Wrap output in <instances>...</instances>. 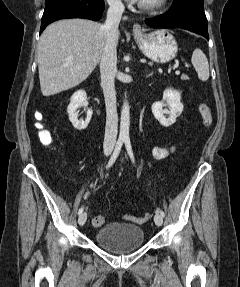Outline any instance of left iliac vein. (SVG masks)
Segmentation results:
<instances>
[{
    "label": "left iliac vein",
    "mask_w": 240,
    "mask_h": 287,
    "mask_svg": "<svg viewBox=\"0 0 240 287\" xmlns=\"http://www.w3.org/2000/svg\"><path fill=\"white\" fill-rule=\"evenodd\" d=\"M154 222L157 226H161L163 224V217L161 214L156 213L154 216Z\"/></svg>",
    "instance_id": "1"
}]
</instances>
